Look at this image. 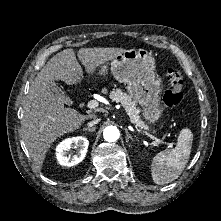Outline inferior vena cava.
I'll list each match as a JSON object with an SVG mask.
<instances>
[{
    "instance_id": "602c4592",
    "label": "inferior vena cava",
    "mask_w": 221,
    "mask_h": 221,
    "mask_svg": "<svg viewBox=\"0 0 221 221\" xmlns=\"http://www.w3.org/2000/svg\"><path fill=\"white\" fill-rule=\"evenodd\" d=\"M100 120H101L100 118L94 117L93 120H91V121H89V122L87 123V126H88V127H92V126H94L95 124L99 123Z\"/></svg>"
}]
</instances>
